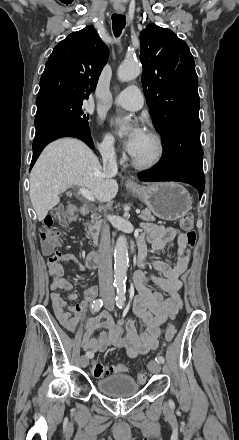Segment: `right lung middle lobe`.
Here are the masks:
<instances>
[{
    "label": "right lung middle lobe",
    "instance_id": "right-lung-middle-lobe-1",
    "mask_svg": "<svg viewBox=\"0 0 239 440\" xmlns=\"http://www.w3.org/2000/svg\"><path fill=\"white\" fill-rule=\"evenodd\" d=\"M84 99L87 98L54 96L36 102L37 113L35 119L48 115H55L89 127V115L82 110Z\"/></svg>",
    "mask_w": 239,
    "mask_h": 440
}]
</instances>
